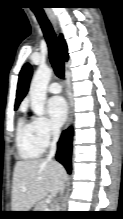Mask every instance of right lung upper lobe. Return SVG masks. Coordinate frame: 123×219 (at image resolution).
Masks as SVG:
<instances>
[{
    "label": "right lung upper lobe",
    "instance_id": "obj_1",
    "mask_svg": "<svg viewBox=\"0 0 123 219\" xmlns=\"http://www.w3.org/2000/svg\"><path fill=\"white\" fill-rule=\"evenodd\" d=\"M59 40H60V47L63 54V58L65 61H67L68 59L67 45L62 35H60ZM31 75H32V68L31 65L27 63L23 66L19 75L17 95L15 101V110L18 108L20 102L23 100V98L28 92Z\"/></svg>",
    "mask_w": 123,
    "mask_h": 219
}]
</instances>
